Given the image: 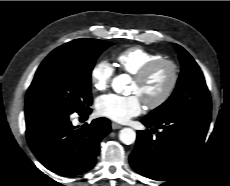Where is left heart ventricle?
<instances>
[{
	"label": "left heart ventricle",
	"instance_id": "b2bd125f",
	"mask_svg": "<svg viewBox=\"0 0 230 186\" xmlns=\"http://www.w3.org/2000/svg\"><path fill=\"white\" fill-rule=\"evenodd\" d=\"M170 79V71L167 67L159 68L144 84L132 82L131 93L142 100L152 101L157 99L165 90Z\"/></svg>",
	"mask_w": 230,
	"mask_h": 186
}]
</instances>
